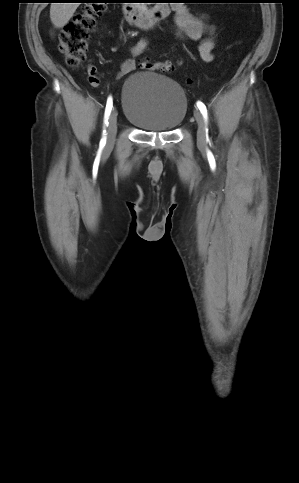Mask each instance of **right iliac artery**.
I'll list each match as a JSON object with an SVG mask.
<instances>
[{"instance_id":"right-iliac-artery-1","label":"right iliac artery","mask_w":299,"mask_h":483,"mask_svg":"<svg viewBox=\"0 0 299 483\" xmlns=\"http://www.w3.org/2000/svg\"><path fill=\"white\" fill-rule=\"evenodd\" d=\"M112 107H113V101H112V97L110 96L107 100V104H106V109H105V120H104V126H107L108 125V118H109V115H110V112L112 110ZM106 133V130L103 131V138L101 139L100 141V145L101 146H104L105 143H106V138H105V134Z\"/></svg>"}]
</instances>
